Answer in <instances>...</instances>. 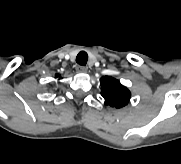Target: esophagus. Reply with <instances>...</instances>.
I'll use <instances>...</instances> for the list:
<instances>
[{
  "mask_svg": "<svg viewBox=\"0 0 181 164\" xmlns=\"http://www.w3.org/2000/svg\"><path fill=\"white\" fill-rule=\"evenodd\" d=\"M76 69L78 72H81V73H86L88 71L87 67L85 66H77Z\"/></svg>",
  "mask_w": 181,
  "mask_h": 164,
  "instance_id": "esophagus-1",
  "label": "esophagus"
}]
</instances>
